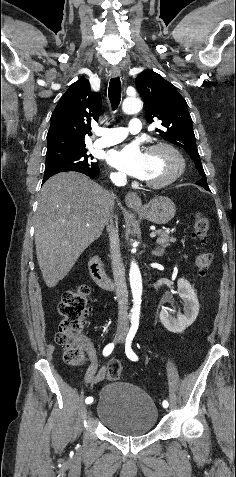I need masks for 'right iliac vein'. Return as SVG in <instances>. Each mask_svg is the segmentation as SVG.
<instances>
[{"mask_svg": "<svg viewBox=\"0 0 236 477\" xmlns=\"http://www.w3.org/2000/svg\"><path fill=\"white\" fill-rule=\"evenodd\" d=\"M123 337H124V336H123L122 334H118V335L116 336V338H115V339H116V340H122V339H123ZM89 406H90V408H89V407H88V408H86V410H85V411H86V413H87V414H86V415H87V417H89V418H90V417H92V415H93V412H94V411H93V408H95V407H96V404H95V403H93V404H90Z\"/></svg>", "mask_w": 236, "mask_h": 477, "instance_id": "right-iliac-vein-1", "label": "right iliac vein"}]
</instances>
